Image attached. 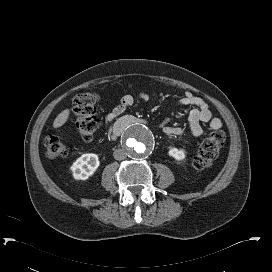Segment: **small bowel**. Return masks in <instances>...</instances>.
Listing matches in <instances>:
<instances>
[{"label": "small bowel", "instance_id": "obj_1", "mask_svg": "<svg viewBox=\"0 0 272 272\" xmlns=\"http://www.w3.org/2000/svg\"><path fill=\"white\" fill-rule=\"evenodd\" d=\"M138 98L144 102L150 100L151 96L148 93L140 92ZM134 98L132 95L123 96L119 103L114 106L107 115V122L112 123L120 116L126 109L132 106ZM178 105L185 106L190 105L194 108L191 109L188 115L189 127L192 135L199 138L203 134L201 124H207L210 129L216 130L222 127V122L219 118L213 117L212 112L207 102L194 95L192 92H186L185 95L178 101ZM161 129L169 135H181L184 133V129L181 127L171 126L169 120H164L161 125Z\"/></svg>", "mask_w": 272, "mask_h": 272}]
</instances>
